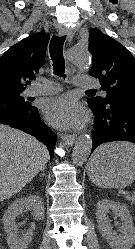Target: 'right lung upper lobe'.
Returning <instances> with one entry per match:
<instances>
[{
  "instance_id": "obj_1",
  "label": "right lung upper lobe",
  "mask_w": 135,
  "mask_h": 249,
  "mask_svg": "<svg viewBox=\"0 0 135 249\" xmlns=\"http://www.w3.org/2000/svg\"><path fill=\"white\" fill-rule=\"evenodd\" d=\"M50 34L42 30L10 47L0 57V92L23 91L42 67Z\"/></svg>"
}]
</instances>
